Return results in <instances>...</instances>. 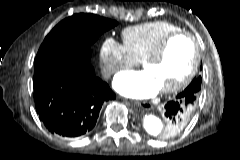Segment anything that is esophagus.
Segmentation results:
<instances>
[{"label": "esophagus", "instance_id": "1", "mask_svg": "<svg viewBox=\"0 0 240 160\" xmlns=\"http://www.w3.org/2000/svg\"><path fill=\"white\" fill-rule=\"evenodd\" d=\"M135 103H136L137 105H139V106H141V104H142V103L139 102V101H136Z\"/></svg>", "mask_w": 240, "mask_h": 160}]
</instances>
